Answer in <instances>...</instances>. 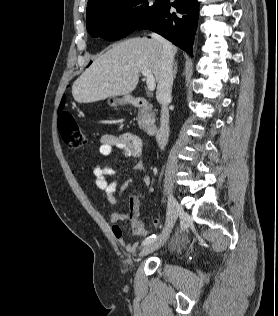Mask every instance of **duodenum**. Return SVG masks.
<instances>
[{"mask_svg":"<svg viewBox=\"0 0 278 316\" xmlns=\"http://www.w3.org/2000/svg\"><path fill=\"white\" fill-rule=\"evenodd\" d=\"M127 102L135 107H146L148 102L143 97H136V96H128ZM146 132L148 135H154L157 132V125L155 123H150L146 126Z\"/></svg>","mask_w":278,"mask_h":316,"instance_id":"duodenum-1","label":"duodenum"}]
</instances>
